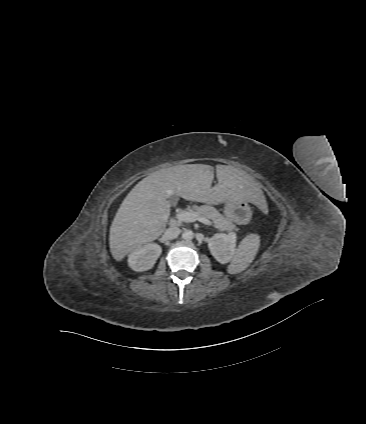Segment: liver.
Instances as JSON below:
<instances>
[{
    "label": "liver",
    "mask_w": 366,
    "mask_h": 424,
    "mask_svg": "<svg viewBox=\"0 0 366 424\" xmlns=\"http://www.w3.org/2000/svg\"><path fill=\"white\" fill-rule=\"evenodd\" d=\"M218 184L211 187L210 165L186 164L158 170L141 180L123 200L110 227L113 258L122 261L142 244L156 240L166 228L171 196L206 204L229 200L261 203L262 191L246 172L217 165Z\"/></svg>",
    "instance_id": "liver-1"
}]
</instances>
